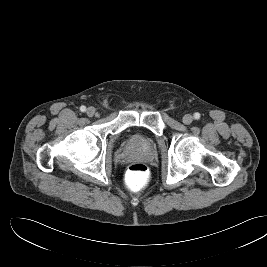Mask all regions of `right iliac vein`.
I'll return each instance as SVG.
<instances>
[{
    "instance_id": "1",
    "label": "right iliac vein",
    "mask_w": 267,
    "mask_h": 267,
    "mask_svg": "<svg viewBox=\"0 0 267 267\" xmlns=\"http://www.w3.org/2000/svg\"><path fill=\"white\" fill-rule=\"evenodd\" d=\"M86 114L89 116V117H93L95 114H96V109L94 107H89L87 110H86Z\"/></svg>"
}]
</instances>
